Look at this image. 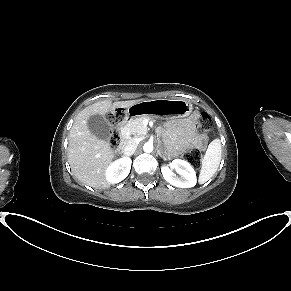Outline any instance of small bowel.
Returning a JSON list of instances; mask_svg holds the SVG:
<instances>
[{
    "instance_id": "c3829d8e",
    "label": "small bowel",
    "mask_w": 291,
    "mask_h": 291,
    "mask_svg": "<svg viewBox=\"0 0 291 291\" xmlns=\"http://www.w3.org/2000/svg\"><path fill=\"white\" fill-rule=\"evenodd\" d=\"M198 120V113L196 111H189L187 119L182 121H175L169 124V127L178 130L180 133L179 149H184L196 142L193 135V122Z\"/></svg>"
}]
</instances>
